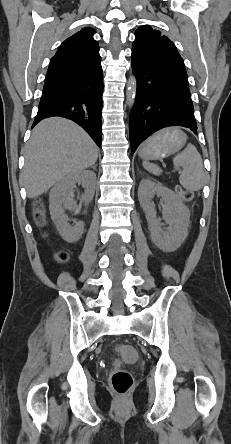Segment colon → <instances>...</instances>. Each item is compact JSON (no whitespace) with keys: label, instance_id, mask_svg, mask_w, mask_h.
I'll use <instances>...</instances> for the list:
<instances>
[{"label":"colon","instance_id":"obj_1","mask_svg":"<svg viewBox=\"0 0 231 444\" xmlns=\"http://www.w3.org/2000/svg\"><path fill=\"white\" fill-rule=\"evenodd\" d=\"M176 191L185 199L192 200L194 194L190 191L182 190L180 187L176 188ZM35 219L41 223L43 221V212L39 203L36 204L34 210ZM57 260L61 263L67 262L69 255L67 252H59ZM118 359L116 360L115 367L110 374V384L113 390L119 395H126L133 387L134 379L130 372L121 367L122 363L132 362L136 358L135 349L127 344H121L117 347Z\"/></svg>","mask_w":231,"mask_h":444}]
</instances>
